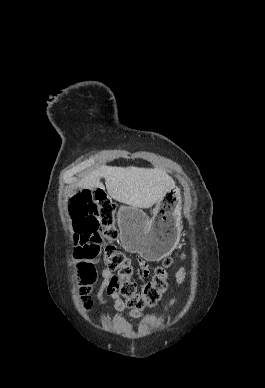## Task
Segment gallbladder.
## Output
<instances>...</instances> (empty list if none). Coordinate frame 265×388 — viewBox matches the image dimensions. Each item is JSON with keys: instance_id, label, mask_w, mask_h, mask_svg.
<instances>
[{"instance_id": "1", "label": "gallbladder", "mask_w": 265, "mask_h": 388, "mask_svg": "<svg viewBox=\"0 0 265 388\" xmlns=\"http://www.w3.org/2000/svg\"><path fill=\"white\" fill-rule=\"evenodd\" d=\"M77 190H73L72 194H76Z\"/></svg>"}]
</instances>
